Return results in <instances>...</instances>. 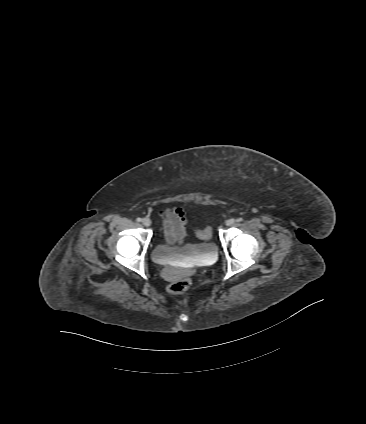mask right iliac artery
<instances>
[{"label": "right iliac artery", "instance_id": "obj_1", "mask_svg": "<svg viewBox=\"0 0 366 424\" xmlns=\"http://www.w3.org/2000/svg\"><path fill=\"white\" fill-rule=\"evenodd\" d=\"M136 220H137L138 222H141V221H142V219H141L140 217H138Z\"/></svg>", "mask_w": 366, "mask_h": 424}]
</instances>
